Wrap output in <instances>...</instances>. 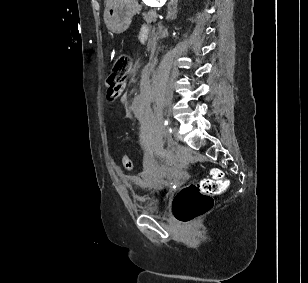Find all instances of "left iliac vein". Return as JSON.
Segmentation results:
<instances>
[{
	"mask_svg": "<svg viewBox=\"0 0 308 283\" xmlns=\"http://www.w3.org/2000/svg\"><path fill=\"white\" fill-rule=\"evenodd\" d=\"M175 140L178 141V128L177 127H173L172 134L168 136L169 143H173Z\"/></svg>",
	"mask_w": 308,
	"mask_h": 283,
	"instance_id": "left-iliac-vein-1",
	"label": "left iliac vein"
}]
</instances>
